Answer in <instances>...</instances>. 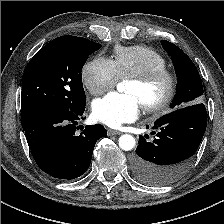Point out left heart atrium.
Segmentation results:
<instances>
[{
	"instance_id": "left-heart-atrium-1",
	"label": "left heart atrium",
	"mask_w": 224,
	"mask_h": 224,
	"mask_svg": "<svg viewBox=\"0 0 224 224\" xmlns=\"http://www.w3.org/2000/svg\"><path fill=\"white\" fill-rule=\"evenodd\" d=\"M142 102L130 93L112 92L93 103L95 118L112 128L134 121L140 114Z\"/></svg>"
}]
</instances>
